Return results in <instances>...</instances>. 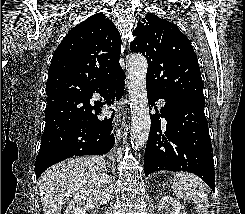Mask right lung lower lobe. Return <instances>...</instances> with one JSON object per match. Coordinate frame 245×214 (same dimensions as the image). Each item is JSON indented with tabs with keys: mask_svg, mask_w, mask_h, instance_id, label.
Listing matches in <instances>:
<instances>
[{
	"mask_svg": "<svg viewBox=\"0 0 245 214\" xmlns=\"http://www.w3.org/2000/svg\"><path fill=\"white\" fill-rule=\"evenodd\" d=\"M125 75L121 74L108 82L105 90L99 93L113 104V99L124 95ZM46 124L41 137V147L35 161L38 178L49 166L66 158L82 155H102L112 149L115 138L112 134V120L100 122L96 115L101 112L99 105L84 101L76 110L68 103L65 95H56L46 100ZM92 110H95L94 114Z\"/></svg>",
	"mask_w": 245,
	"mask_h": 214,
	"instance_id": "1",
	"label": "right lung lower lobe"
}]
</instances>
